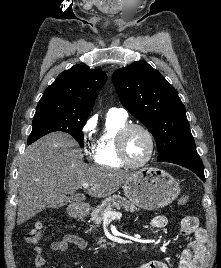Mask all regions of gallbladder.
<instances>
[{"instance_id":"obj_1","label":"gallbladder","mask_w":221,"mask_h":268,"mask_svg":"<svg viewBox=\"0 0 221 268\" xmlns=\"http://www.w3.org/2000/svg\"><path fill=\"white\" fill-rule=\"evenodd\" d=\"M58 198L59 199H49L47 202V207L57 209L67 204L68 199L66 196L58 194Z\"/></svg>"}]
</instances>
